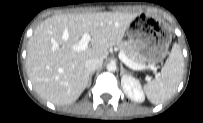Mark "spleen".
Here are the masks:
<instances>
[{"label": "spleen", "instance_id": "spleen-1", "mask_svg": "<svg viewBox=\"0 0 203 123\" xmlns=\"http://www.w3.org/2000/svg\"><path fill=\"white\" fill-rule=\"evenodd\" d=\"M184 72V59L180 46L174 44L161 72L144 86L148 100L160 104L176 92Z\"/></svg>", "mask_w": 203, "mask_h": 123}]
</instances>
